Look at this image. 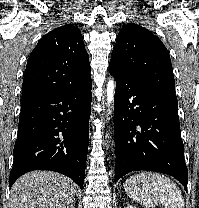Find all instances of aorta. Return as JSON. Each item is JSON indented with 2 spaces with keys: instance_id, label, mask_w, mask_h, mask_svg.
<instances>
[{
  "instance_id": "aorta-1",
  "label": "aorta",
  "mask_w": 199,
  "mask_h": 208,
  "mask_svg": "<svg viewBox=\"0 0 199 208\" xmlns=\"http://www.w3.org/2000/svg\"><path fill=\"white\" fill-rule=\"evenodd\" d=\"M114 93H115V81L113 78H110L107 83V88H106V97H107L108 107H111V105L114 101ZM109 111H110V109H109Z\"/></svg>"
}]
</instances>
